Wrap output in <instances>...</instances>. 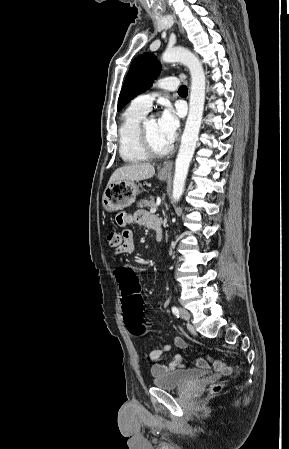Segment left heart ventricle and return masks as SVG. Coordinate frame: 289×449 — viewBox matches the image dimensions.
I'll return each mask as SVG.
<instances>
[{"label": "left heart ventricle", "instance_id": "obj_1", "mask_svg": "<svg viewBox=\"0 0 289 449\" xmlns=\"http://www.w3.org/2000/svg\"><path fill=\"white\" fill-rule=\"evenodd\" d=\"M148 132L151 144L156 151H165L171 145L160 129L158 119L152 117L149 120Z\"/></svg>", "mask_w": 289, "mask_h": 449}]
</instances>
